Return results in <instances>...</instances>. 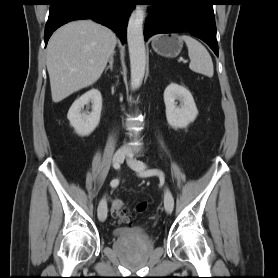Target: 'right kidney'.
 I'll list each match as a JSON object with an SVG mask.
<instances>
[{
    "mask_svg": "<svg viewBox=\"0 0 278 278\" xmlns=\"http://www.w3.org/2000/svg\"><path fill=\"white\" fill-rule=\"evenodd\" d=\"M92 104V111L82 112L85 105ZM102 96L98 89H91L76 99L70 107L67 118L80 136L90 135L100 122Z\"/></svg>",
    "mask_w": 278,
    "mask_h": 278,
    "instance_id": "ca27d5eb",
    "label": "right kidney"
}]
</instances>
